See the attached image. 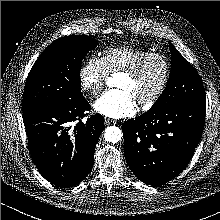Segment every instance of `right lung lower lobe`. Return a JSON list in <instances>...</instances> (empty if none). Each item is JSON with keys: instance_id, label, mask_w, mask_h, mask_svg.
I'll use <instances>...</instances> for the list:
<instances>
[{"instance_id": "1", "label": "right lung lower lobe", "mask_w": 220, "mask_h": 220, "mask_svg": "<svg viewBox=\"0 0 220 220\" xmlns=\"http://www.w3.org/2000/svg\"><path fill=\"white\" fill-rule=\"evenodd\" d=\"M88 110L90 105L84 97L72 105L23 109L31 158L42 176L60 188L75 186L91 171L104 120L97 113L81 122Z\"/></svg>"}]
</instances>
